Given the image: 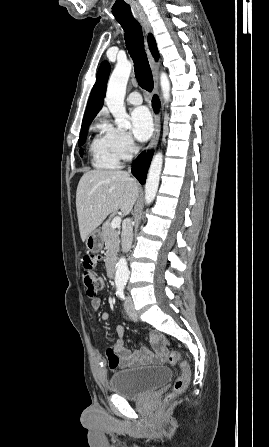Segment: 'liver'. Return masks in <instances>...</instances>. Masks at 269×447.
Listing matches in <instances>:
<instances>
[{
  "instance_id": "1",
  "label": "liver",
  "mask_w": 269,
  "mask_h": 447,
  "mask_svg": "<svg viewBox=\"0 0 269 447\" xmlns=\"http://www.w3.org/2000/svg\"><path fill=\"white\" fill-rule=\"evenodd\" d=\"M139 190V184L127 172H86L76 192V210L82 241L112 212L121 210L124 216H128L139 198Z\"/></svg>"
}]
</instances>
